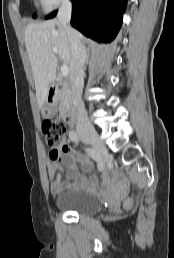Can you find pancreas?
Here are the masks:
<instances>
[{
	"instance_id": "pancreas-1",
	"label": "pancreas",
	"mask_w": 174,
	"mask_h": 258,
	"mask_svg": "<svg viewBox=\"0 0 174 258\" xmlns=\"http://www.w3.org/2000/svg\"><path fill=\"white\" fill-rule=\"evenodd\" d=\"M59 102L62 107L66 106L68 104V97L66 90H61L59 95Z\"/></svg>"
}]
</instances>
